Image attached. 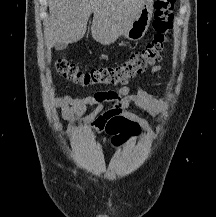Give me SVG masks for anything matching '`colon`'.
Segmentation results:
<instances>
[{"label":"colon","mask_w":216,"mask_h":217,"mask_svg":"<svg viewBox=\"0 0 216 217\" xmlns=\"http://www.w3.org/2000/svg\"><path fill=\"white\" fill-rule=\"evenodd\" d=\"M174 4L175 0H156L153 40L143 49L132 52L124 62L83 71L65 58H58L55 63L57 72L63 78L82 86L127 82L162 59L169 44V32L173 27ZM107 131L113 136L112 142L115 146L121 145L128 137L136 133L134 125L126 119H118L111 123Z\"/></svg>","instance_id":"5ec220e1"}]
</instances>
